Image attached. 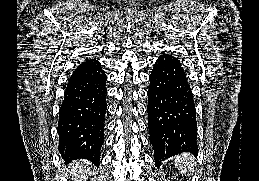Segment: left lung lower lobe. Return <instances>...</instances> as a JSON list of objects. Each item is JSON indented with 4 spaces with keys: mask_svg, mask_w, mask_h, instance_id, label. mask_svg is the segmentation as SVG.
Returning a JSON list of instances; mask_svg holds the SVG:
<instances>
[{
    "mask_svg": "<svg viewBox=\"0 0 259 181\" xmlns=\"http://www.w3.org/2000/svg\"><path fill=\"white\" fill-rule=\"evenodd\" d=\"M149 81L148 128L156 165L178 153L196 155V109L182 64L172 55H161Z\"/></svg>",
    "mask_w": 259,
    "mask_h": 181,
    "instance_id": "1",
    "label": "left lung lower lobe"
}]
</instances>
